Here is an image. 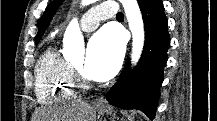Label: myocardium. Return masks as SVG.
<instances>
[{"mask_svg": "<svg viewBox=\"0 0 217 121\" xmlns=\"http://www.w3.org/2000/svg\"><path fill=\"white\" fill-rule=\"evenodd\" d=\"M71 73H72V80L74 86L82 90H86L91 87L90 79L86 76V74L82 70L76 68L73 65L71 66Z\"/></svg>", "mask_w": 217, "mask_h": 121, "instance_id": "myocardium-1", "label": "myocardium"}]
</instances>
